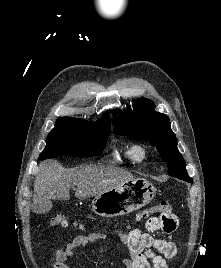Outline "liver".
Wrapping results in <instances>:
<instances>
[{
	"label": "liver",
	"mask_w": 221,
	"mask_h": 268,
	"mask_svg": "<svg viewBox=\"0 0 221 268\" xmlns=\"http://www.w3.org/2000/svg\"><path fill=\"white\" fill-rule=\"evenodd\" d=\"M134 179L124 169L113 166L85 165L65 169L57 161H45L39 165L34 181L32 210L37 214L48 212L52 200H69L70 188L76 186L78 199L95 197L113 190Z\"/></svg>",
	"instance_id": "6515ba94"
}]
</instances>
